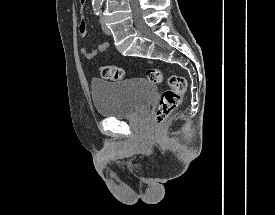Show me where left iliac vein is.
Returning a JSON list of instances; mask_svg holds the SVG:
<instances>
[{
	"label": "left iliac vein",
	"mask_w": 275,
	"mask_h": 215,
	"mask_svg": "<svg viewBox=\"0 0 275 215\" xmlns=\"http://www.w3.org/2000/svg\"><path fill=\"white\" fill-rule=\"evenodd\" d=\"M101 26H102V30H103V32H104L105 34H107V35H110V34H111L110 29L106 26L105 18H104V17L101 18Z\"/></svg>",
	"instance_id": "1"
}]
</instances>
